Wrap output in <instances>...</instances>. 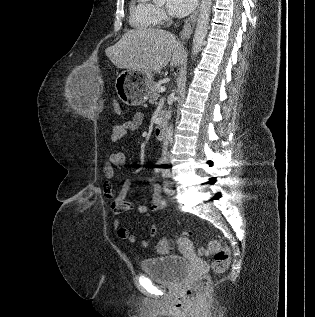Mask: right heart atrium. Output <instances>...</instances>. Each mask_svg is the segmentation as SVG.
<instances>
[{
    "label": "right heart atrium",
    "mask_w": 315,
    "mask_h": 317,
    "mask_svg": "<svg viewBox=\"0 0 315 317\" xmlns=\"http://www.w3.org/2000/svg\"><path fill=\"white\" fill-rule=\"evenodd\" d=\"M156 9H157V14H158L160 21L166 20L167 14H166L165 10L163 8H160V7H156Z\"/></svg>",
    "instance_id": "obj_1"
}]
</instances>
